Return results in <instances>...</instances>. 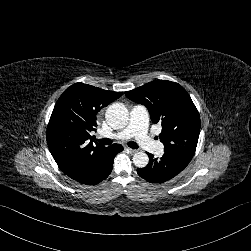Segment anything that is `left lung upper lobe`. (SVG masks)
Wrapping results in <instances>:
<instances>
[{"mask_svg":"<svg viewBox=\"0 0 251 251\" xmlns=\"http://www.w3.org/2000/svg\"><path fill=\"white\" fill-rule=\"evenodd\" d=\"M130 100L147 107L164 151L193 157L200 133V117L190 95L178 83L155 80L126 92Z\"/></svg>","mask_w":251,"mask_h":251,"instance_id":"left-lung-upper-lobe-1","label":"left lung upper lobe"}]
</instances>
